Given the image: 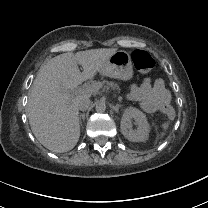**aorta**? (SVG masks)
I'll list each match as a JSON object with an SVG mask.
<instances>
[{
  "mask_svg": "<svg viewBox=\"0 0 208 208\" xmlns=\"http://www.w3.org/2000/svg\"><path fill=\"white\" fill-rule=\"evenodd\" d=\"M105 109H106V106H105L104 103L100 102V103H97V104H96L95 110H96L97 112H104Z\"/></svg>",
  "mask_w": 208,
  "mask_h": 208,
  "instance_id": "1",
  "label": "aorta"
}]
</instances>
